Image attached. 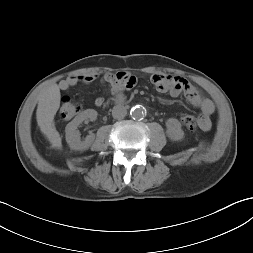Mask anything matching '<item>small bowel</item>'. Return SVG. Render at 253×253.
Here are the masks:
<instances>
[{
    "mask_svg": "<svg viewBox=\"0 0 253 253\" xmlns=\"http://www.w3.org/2000/svg\"><path fill=\"white\" fill-rule=\"evenodd\" d=\"M99 79L96 73H88L83 75H73L62 80L59 84L60 89L67 91L79 83L91 84ZM101 81L107 84L113 93H118L125 88H131L136 83V77L128 72L106 73L101 77ZM151 83L161 93H168L172 97L181 94L185 96L187 101L201 110L199 117V125L203 131L211 128L209 116L213 114L215 107L213 102L204 97L200 91L191 85L186 79L178 76H169L164 74H155L151 77ZM95 105L101 107L105 100L98 97L94 101Z\"/></svg>",
    "mask_w": 253,
    "mask_h": 253,
    "instance_id": "1",
    "label": "small bowel"
}]
</instances>
